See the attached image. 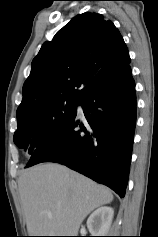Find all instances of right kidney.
<instances>
[{"label":"right kidney","instance_id":"ca27d5eb","mask_svg":"<svg viewBox=\"0 0 158 237\" xmlns=\"http://www.w3.org/2000/svg\"><path fill=\"white\" fill-rule=\"evenodd\" d=\"M114 216L113 208L102 206L96 209L87 219V227L92 236H105Z\"/></svg>","mask_w":158,"mask_h":237}]
</instances>
